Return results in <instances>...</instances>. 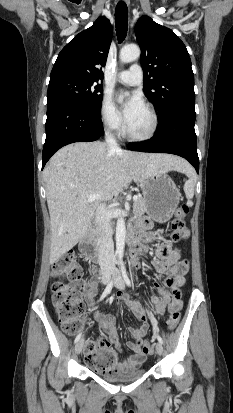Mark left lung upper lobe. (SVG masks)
<instances>
[{"instance_id":"left-lung-upper-lobe-1","label":"left lung upper lobe","mask_w":233,"mask_h":413,"mask_svg":"<svg viewBox=\"0 0 233 413\" xmlns=\"http://www.w3.org/2000/svg\"><path fill=\"white\" fill-rule=\"evenodd\" d=\"M135 35L142 50L144 89L160 117L176 110L195 114L194 75L184 43L148 16L137 21Z\"/></svg>"}]
</instances>
